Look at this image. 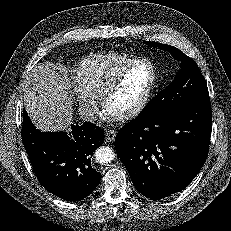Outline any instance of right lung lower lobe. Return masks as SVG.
I'll return each mask as SVG.
<instances>
[{"label": "right lung lower lobe", "instance_id": "1", "mask_svg": "<svg viewBox=\"0 0 231 231\" xmlns=\"http://www.w3.org/2000/svg\"><path fill=\"white\" fill-rule=\"evenodd\" d=\"M22 141L40 184L66 200L79 201L93 192L101 174L91 166L104 131L90 122L67 132H41L23 111Z\"/></svg>", "mask_w": 231, "mask_h": 231}]
</instances>
